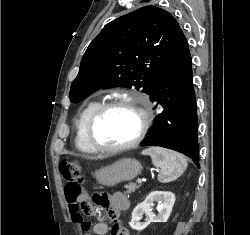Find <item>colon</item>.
Segmentation results:
<instances>
[{
    "instance_id": "obj_1",
    "label": "colon",
    "mask_w": 250,
    "mask_h": 235,
    "mask_svg": "<svg viewBox=\"0 0 250 235\" xmlns=\"http://www.w3.org/2000/svg\"><path fill=\"white\" fill-rule=\"evenodd\" d=\"M60 171L66 182L65 192L67 199L73 203L80 204V208L86 210L88 207L84 205L86 196L80 161L64 159L60 162ZM103 201L104 197L102 194H93L92 202L94 204H99Z\"/></svg>"
}]
</instances>
